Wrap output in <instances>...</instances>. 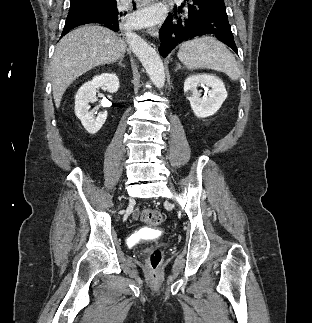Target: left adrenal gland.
<instances>
[{
	"instance_id": "1",
	"label": "left adrenal gland",
	"mask_w": 312,
	"mask_h": 323,
	"mask_svg": "<svg viewBox=\"0 0 312 323\" xmlns=\"http://www.w3.org/2000/svg\"><path fill=\"white\" fill-rule=\"evenodd\" d=\"M176 70H181V66H180V64H177V68H176Z\"/></svg>"
}]
</instances>
